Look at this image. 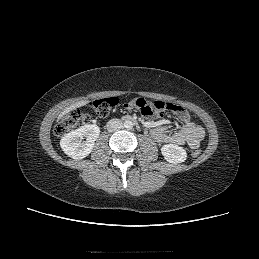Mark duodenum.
Masks as SVG:
<instances>
[{"label":"duodenum","instance_id":"duodenum-1","mask_svg":"<svg viewBox=\"0 0 259 259\" xmlns=\"http://www.w3.org/2000/svg\"><path fill=\"white\" fill-rule=\"evenodd\" d=\"M124 120H127V121H134L131 116H125V117H124Z\"/></svg>","mask_w":259,"mask_h":259}]
</instances>
